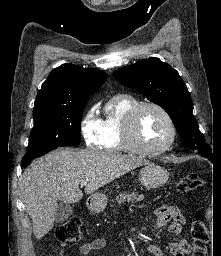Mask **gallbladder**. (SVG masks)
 Masks as SVG:
<instances>
[{"label":"gallbladder","instance_id":"1","mask_svg":"<svg viewBox=\"0 0 221 256\" xmlns=\"http://www.w3.org/2000/svg\"><path fill=\"white\" fill-rule=\"evenodd\" d=\"M73 213V209L70 204L68 203H58L56 205V212H55V221L57 223L64 222L67 220Z\"/></svg>","mask_w":221,"mask_h":256}]
</instances>
